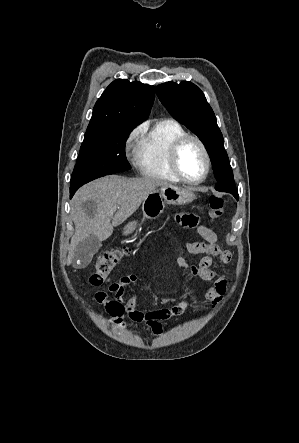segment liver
<instances>
[{
  "label": "liver",
  "instance_id": "liver-1",
  "mask_svg": "<svg viewBox=\"0 0 299 443\" xmlns=\"http://www.w3.org/2000/svg\"><path fill=\"white\" fill-rule=\"evenodd\" d=\"M167 184L156 178L112 175L80 188L72 200L75 233L69 247L68 264H71L75 248L81 241L91 235L100 241L106 240L114 227L129 218L150 193ZM112 209H116L114 215L110 213Z\"/></svg>",
  "mask_w": 299,
  "mask_h": 443
}]
</instances>
